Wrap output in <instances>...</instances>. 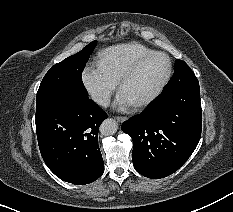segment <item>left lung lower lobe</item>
<instances>
[{
    "mask_svg": "<svg viewBox=\"0 0 233 212\" xmlns=\"http://www.w3.org/2000/svg\"><path fill=\"white\" fill-rule=\"evenodd\" d=\"M202 110L196 78L163 90L140 115L122 124L133 140L137 172L159 179L177 171L191 156L201 136Z\"/></svg>",
    "mask_w": 233,
    "mask_h": 212,
    "instance_id": "1",
    "label": "left lung lower lobe"
}]
</instances>
